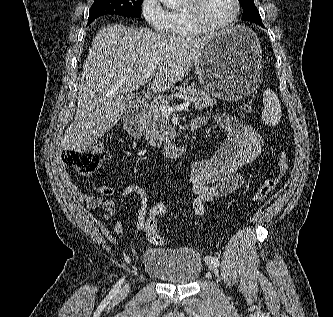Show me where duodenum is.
I'll return each mask as SVG.
<instances>
[{"mask_svg": "<svg viewBox=\"0 0 333 317\" xmlns=\"http://www.w3.org/2000/svg\"><path fill=\"white\" fill-rule=\"evenodd\" d=\"M148 103L141 102L133 107L124 117V127L127 133L135 139L142 137V131ZM201 123L194 120L180 141L172 142L162 148L163 154L169 159H177L184 155L190 146V137L201 127Z\"/></svg>", "mask_w": 333, "mask_h": 317, "instance_id": "1", "label": "duodenum"}]
</instances>
